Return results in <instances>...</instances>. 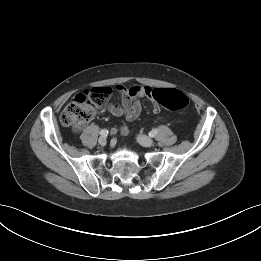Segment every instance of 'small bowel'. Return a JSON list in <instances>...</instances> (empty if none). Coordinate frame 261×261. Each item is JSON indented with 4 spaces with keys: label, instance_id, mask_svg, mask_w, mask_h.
Returning a JSON list of instances; mask_svg holds the SVG:
<instances>
[{
    "label": "small bowel",
    "instance_id": "obj_1",
    "mask_svg": "<svg viewBox=\"0 0 261 261\" xmlns=\"http://www.w3.org/2000/svg\"><path fill=\"white\" fill-rule=\"evenodd\" d=\"M117 92L121 96V102L119 104H109L107 106L108 111L114 116H125L128 120H135L139 117L142 107L139 99L143 96L152 98V89L148 86L133 85L126 87L124 85L116 86ZM153 111L159 112V107L154 104ZM120 132L123 135H127L129 130L127 126H122Z\"/></svg>",
    "mask_w": 261,
    "mask_h": 261
}]
</instances>
